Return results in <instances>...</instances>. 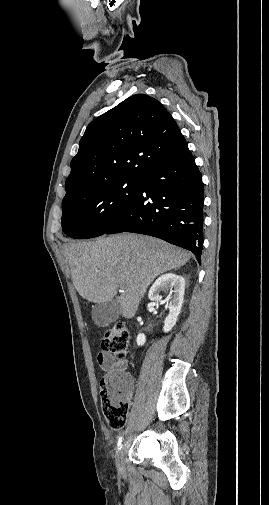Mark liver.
Masks as SVG:
<instances>
[{"label":"liver","mask_w":269,"mask_h":505,"mask_svg":"<svg viewBox=\"0 0 269 505\" xmlns=\"http://www.w3.org/2000/svg\"><path fill=\"white\" fill-rule=\"evenodd\" d=\"M75 289L93 303L116 298L120 314L132 318L148 286L160 274L186 264L190 255L163 240L131 233L66 243ZM123 292L117 296V290Z\"/></svg>","instance_id":"6515ba94"}]
</instances>
